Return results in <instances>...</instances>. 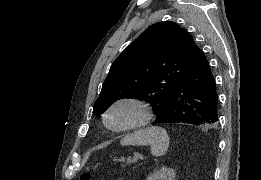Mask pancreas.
Wrapping results in <instances>:
<instances>
[{
	"label": "pancreas",
	"instance_id": "pancreas-1",
	"mask_svg": "<svg viewBox=\"0 0 261 180\" xmlns=\"http://www.w3.org/2000/svg\"><path fill=\"white\" fill-rule=\"evenodd\" d=\"M137 162L133 161V158H127L126 160H124V162H121V167H130L131 164H136Z\"/></svg>",
	"mask_w": 261,
	"mask_h": 180
}]
</instances>
